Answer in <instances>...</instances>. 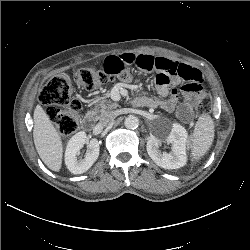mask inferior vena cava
<instances>
[{"instance_id":"602c4592","label":"inferior vena cava","mask_w":250,"mask_h":250,"mask_svg":"<svg viewBox=\"0 0 250 250\" xmlns=\"http://www.w3.org/2000/svg\"><path fill=\"white\" fill-rule=\"evenodd\" d=\"M116 116H117V113L115 111L105 112L99 120V125L102 127H106L110 125L114 121Z\"/></svg>"}]
</instances>
